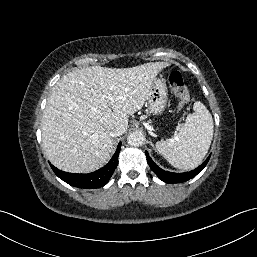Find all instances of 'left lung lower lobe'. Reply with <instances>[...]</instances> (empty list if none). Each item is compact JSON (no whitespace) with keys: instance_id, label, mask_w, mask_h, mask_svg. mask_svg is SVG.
Returning <instances> with one entry per match:
<instances>
[{"instance_id":"1","label":"left lung lower lobe","mask_w":257,"mask_h":257,"mask_svg":"<svg viewBox=\"0 0 257 257\" xmlns=\"http://www.w3.org/2000/svg\"><path fill=\"white\" fill-rule=\"evenodd\" d=\"M146 157H147V162L150 166V168L153 170V172L164 182L166 183H181L185 182L193 177H195L208 163L210 156L196 169L190 171V172H185V173H173V172H168L165 170H162L160 167H158L150 158L148 152L146 151Z\"/></svg>"}]
</instances>
